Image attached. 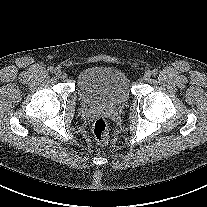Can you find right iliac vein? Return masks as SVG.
<instances>
[{"label": "right iliac vein", "instance_id": "63e3f726", "mask_svg": "<svg viewBox=\"0 0 207 207\" xmlns=\"http://www.w3.org/2000/svg\"><path fill=\"white\" fill-rule=\"evenodd\" d=\"M54 74H55L56 77H60L62 75V72H61V70L59 68H56L54 70Z\"/></svg>", "mask_w": 207, "mask_h": 207}]
</instances>
